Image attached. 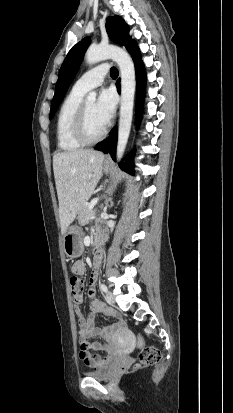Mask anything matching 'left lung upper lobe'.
<instances>
[{
    "instance_id": "5c2ea615",
    "label": "left lung upper lobe",
    "mask_w": 233,
    "mask_h": 413,
    "mask_svg": "<svg viewBox=\"0 0 233 413\" xmlns=\"http://www.w3.org/2000/svg\"><path fill=\"white\" fill-rule=\"evenodd\" d=\"M106 29L109 37L116 43L124 45L127 50L136 45L129 36V27L120 16L108 17ZM89 37L78 42L68 52L59 71L58 80L55 87V94L51 104L50 119L54 116L66 91L71 84L83 57L84 51L89 45Z\"/></svg>"
}]
</instances>
